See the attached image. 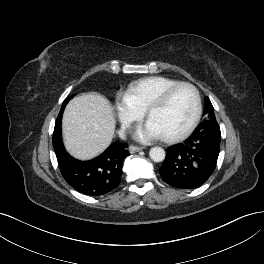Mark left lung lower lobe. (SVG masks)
<instances>
[{
  "instance_id": "left-lung-lower-lobe-1",
  "label": "left lung lower lobe",
  "mask_w": 264,
  "mask_h": 264,
  "mask_svg": "<svg viewBox=\"0 0 264 264\" xmlns=\"http://www.w3.org/2000/svg\"><path fill=\"white\" fill-rule=\"evenodd\" d=\"M220 127L216 120H204L184 142L170 146L159 169L162 178L180 189H194L213 173L220 152Z\"/></svg>"
}]
</instances>
